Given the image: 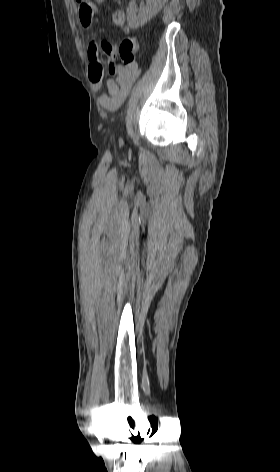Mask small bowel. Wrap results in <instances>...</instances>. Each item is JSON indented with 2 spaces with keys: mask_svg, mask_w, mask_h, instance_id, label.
Masks as SVG:
<instances>
[{
  "mask_svg": "<svg viewBox=\"0 0 280 472\" xmlns=\"http://www.w3.org/2000/svg\"><path fill=\"white\" fill-rule=\"evenodd\" d=\"M98 3L105 0H95ZM78 3V12L80 23L83 27H90L94 15L98 13L95 4L90 0H76ZM112 22L115 26L120 27L122 31L129 34L131 29L126 23V13L123 9H117L112 14ZM135 42L137 48V40L131 37ZM104 54L110 61H113L118 56V47L110 40H103L101 42L92 41L88 47L89 59V77L92 82L94 90H100L103 84L104 67L100 55ZM140 68L137 63L133 65L118 64L115 65V73L107 82L106 94H102L98 98L99 104L108 111H115L118 109L129 95L131 88L138 78Z\"/></svg>",
  "mask_w": 280,
  "mask_h": 472,
  "instance_id": "c3829d8e",
  "label": "small bowel"
}]
</instances>
